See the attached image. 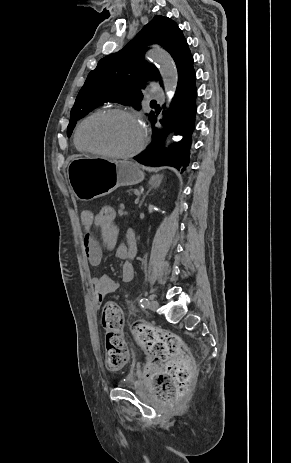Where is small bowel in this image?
Instances as JSON below:
<instances>
[{"instance_id": "1", "label": "small bowel", "mask_w": 291, "mask_h": 463, "mask_svg": "<svg viewBox=\"0 0 291 463\" xmlns=\"http://www.w3.org/2000/svg\"><path fill=\"white\" fill-rule=\"evenodd\" d=\"M81 223L85 228L83 235L84 254L92 266H98L102 259V249L93 234V228H98L96 214L89 210L83 211L81 213ZM118 234L119 230L116 223L114 226H107L105 230H100L104 246L109 250H114L116 257L124 260L121 268L122 282L130 283L134 278L133 258L136 254L135 236L131 230L128 231L127 243L118 245ZM91 283L94 287V297L97 304H100L107 295L114 293L119 287L118 282L102 274H94L91 277Z\"/></svg>"}]
</instances>
